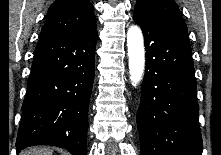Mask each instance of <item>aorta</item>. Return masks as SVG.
Listing matches in <instances>:
<instances>
[{
  "label": "aorta",
  "mask_w": 221,
  "mask_h": 155,
  "mask_svg": "<svg viewBox=\"0 0 221 155\" xmlns=\"http://www.w3.org/2000/svg\"><path fill=\"white\" fill-rule=\"evenodd\" d=\"M129 74L133 86L142 79L145 68V50L143 34L138 26H131L127 32Z\"/></svg>",
  "instance_id": "762f6f07"
}]
</instances>
